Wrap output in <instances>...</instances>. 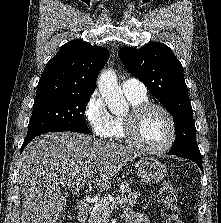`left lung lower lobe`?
Wrapping results in <instances>:
<instances>
[{
  "mask_svg": "<svg viewBox=\"0 0 221 223\" xmlns=\"http://www.w3.org/2000/svg\"><path fill=\"white\" fill-rule=\"evenodd\" d=\"M172 155H176V156L187 158V159L194 161L200 167V169L203 171L201 154L186 153V154H172Z\"/></svg>",
  "mask_w": 221,
  "mask_h": 223,
  "instance_id": "left-lung-lower-lobe-1",
  "label": "left lung lower lobe"
}]
</instances>
